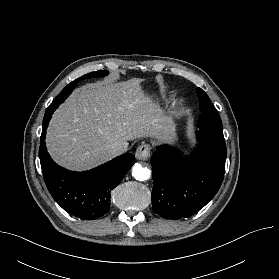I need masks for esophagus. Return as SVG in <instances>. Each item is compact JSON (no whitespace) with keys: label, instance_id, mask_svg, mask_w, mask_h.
Returning a JSON list of instances; mask_svg holds the SVG:
<instances>
[{"label":"esophagus","instance_id":"1","mask_svg":"<svg viewBox=\"0 0 279 279\" xmlns=\"http://www.w3.org/2000/svg\"><path fill=\"white\" fill-rule=\"evenodd\" d=\"M151 147L149 144L140 145L136 152L135 156L138 160H147L150 157Z\"/></svg>","mask_w":279,"mask_h":279}]
</instances>
